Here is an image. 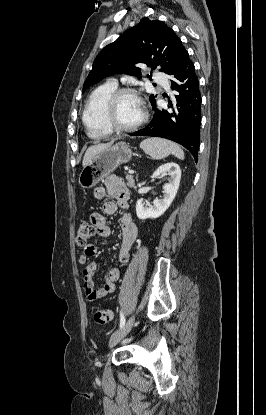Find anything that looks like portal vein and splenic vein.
<instances>
[{
  "mask_svg": "<svg viewBox=\"0 0 266 415\" xmlns=\"http://www.w3.org/2000/svg\"><path fill=\"white\" fill-rule=\"evenodd\" d=\"M128 173L129 174H133L134 173V170H128Z\"/></svg>",
  "mask_w": 266,
  "mask_h": 415,
  "instance_id": "18ae733b",
  "label": "portal vein and splenic vein"
}]
</instances>
